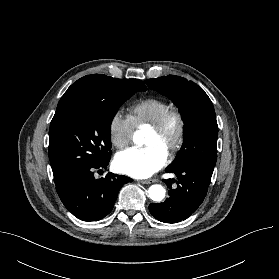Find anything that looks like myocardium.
Listing matches in <instances>:
<instances>
[{
	"label": "myocardium",
	"instance_id": "myocardium-1",
	"mask_svg": "<svg viewBox=\"0 0 279 279\" xmlns=\"http://www.w3.org/2000/svg\"><path fill=\"white\" fill-rule=\"evenodd\" d=\"M172 120L177 123V135L173 145L167 153L169 156H173L181 148L184 141L185 119L182 112L176 107H170L165 110L158 120L150 127V130L161 133L167 129Z\"/></svg>",
	"mask_w": 279,
	"mask_h": 279
}]
</instances>
